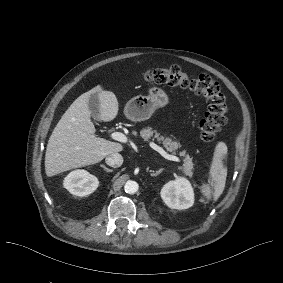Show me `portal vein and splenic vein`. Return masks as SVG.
Instances as JSON below:
<instances>
[{
	"mask_svg": "<svg viewBox=\"0 0 283 283\" xmlns=\"http://www.w3.org/2000/svg\"><path fill=\"white\" fill-rule=\"evenodd\" d=\"M113 138L123 144H128L130 142L129 138L120 132H116L113 135ZM150 148L154 149L155 151H157L158 153H160L164 158L168 159V160H172V161H177L178 158L172 155L167 154L160 146H158L157 144H155L153 141H149L148 142Z\"/></svg>",
	"mask_w": 283,
	"mask_h": 283,
	"instance_id": "obj_1",
	"label": "portal vein and splenic vein"
}]
</instances>
